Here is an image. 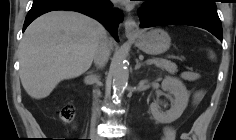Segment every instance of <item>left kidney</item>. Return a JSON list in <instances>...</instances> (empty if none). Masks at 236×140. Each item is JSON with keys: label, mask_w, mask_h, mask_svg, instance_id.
<instances>
[{"label": "left kidney", "mask_w": 236, "mask_h": 140, "mask_svg": "<svg viewBox=\"0 0 236 140\" xmlns=\"http://www.w3.org/2000/svg\"><path fill=\"white\" fill-rule=\"evenodd\" d=\"M161 85L164 91L169 92L174 97V99L172 100L171 108L167 112H163L160 109L159 102L154 101L150 105V110L154 119L158 122L171 123L178 119L187 107L189 101V93L182 81L175 77L167 76L162 81Z\"/></svg>", "instance_id": "5707ae66"}]
</instances>
